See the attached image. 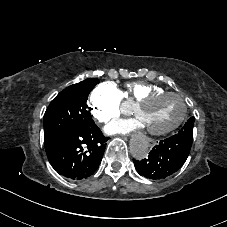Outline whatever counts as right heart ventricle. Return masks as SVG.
Listing matches in <instances>:
<instances>
[{
  "instance_id": "obj_1",
  "label": "right heart ventricle",
  "mask_w": 227,
  "mask_h": 227,
  "mask_svg": "<svg viewBox=\"0 0 227 227\" xmlns=\"http://www.w3.org/2000/svg\"><path fill=\"white\" fill-rule=\"evenodd\" d=\"M163 90L164 88L157 84L137 80L127 83L125 90L120 91V93L122 101L136 103L137 100L147 94Z\"/></svg>"
}]
</instances>
